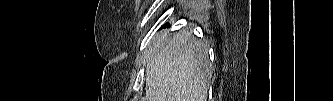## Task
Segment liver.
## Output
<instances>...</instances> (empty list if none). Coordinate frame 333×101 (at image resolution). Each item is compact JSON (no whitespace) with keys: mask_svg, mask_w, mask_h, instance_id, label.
Wrapping results in <instances>:
<instances>
[{"mask_svg":"<svg viewBox=\"0 0 333 101\" xmlns=\"http://www.w3.org/2000/svg\"><path fill=\"white\" fill-rule=\"evenodd\" d=\"M146 62L143 101H207L213 66L207 44L191 33L157 34Z\"/></svg>","mask_w":333,"mask_h":101,"instance_id":"6515ba94","label":"liver"}]
</instances>
